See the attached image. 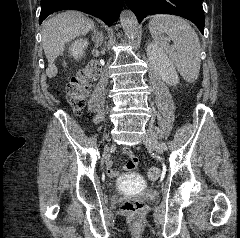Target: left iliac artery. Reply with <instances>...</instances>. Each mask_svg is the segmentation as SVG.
I'll use <instances>...</instances> for the list:
<instances>
[{
    "label": "left iliac artery",
    "instance_id": "obj_1",
    "mask_svg": "<svg viewBox=\"0 0 240 238\" xmlns=\"http://www.w3.org/2000/svg\"><path fill=\"white\" fill-rule=\"evenodd\" d=\"M158 141H159V145L160 146H165L166 145V139L163 141V139L165 138L166 136V133L165 132H161L160 130L158 131Z\"/></svg>",
    "mask_w": 240,
    "mask_h": 238
}]
</instances>
